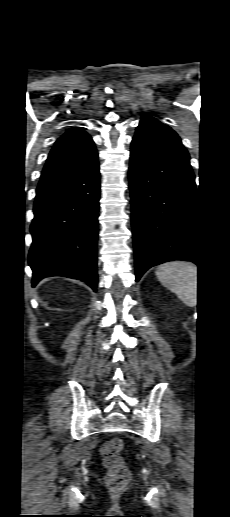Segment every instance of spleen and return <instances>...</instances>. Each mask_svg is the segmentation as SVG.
I'll use <instances>...</instances> for the list:
<instances>
[{"label": "spleen", "instance_id": "3e777b00", "mask_svg": "<svg viewBox=\"0 0 230 517\" xmlns=\"http://www.w3.org/2000/svg\"><path fill=\"white\" fill-rule=\"evenodd\" d=\"M156 276L164 287L172 291L186 305L197 303V266L189 262H170L159 266Z\"/></svg>", "mask_w": 230, "mask_h": 517}]
</instances>
